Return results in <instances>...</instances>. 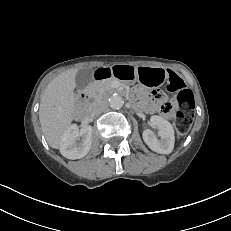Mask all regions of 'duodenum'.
<instances>
[{"mask_svg":"<svg viewBox=\"0 0 231 231\" xmlns=\"http://www.w3.org/2000/svg\"><path fill=\"white\" fill-rule=\"evenodd\" d=\"M79 97H80L81 100L86 101V100L89 99V92H87V91H82V92L80 93V96H79ZM81 118H82L83 120H85V119H87V116L82 115Z\"/></svg>","mask_w":231,"mask_h":231,"instance_id":"obj_1","label":"duodenum"}]
</instances>
